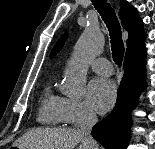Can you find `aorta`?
<instances>
[{"label":"aorta","mask_w":155,"mask_h":149,"mask_svg":"<svg viewBox=\"0 0 155 149\" xmlns=\"http://www.w3.org/2000/svg\"><path fill=\"white\" fill-rule=\"evenodd\" d=\"M104 46L98 27L87 26L78 39L65 70L61 91L68 97L81 98L85 94L88 66Z\"/></svg>","instance_id":"1"}]
</instances>
